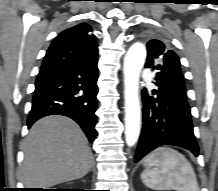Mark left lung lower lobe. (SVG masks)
Wrapping results in <instances>:
<instances>
[{"label":"left lung lower lobe","mask_w":218,"mask_h":191,"mask_svg":"<svg viewBox=\"0 0 218 191\" xmlns=\"http://www.w3.org/2000/svg\"><path fill=\"white\" fill-rule=\"evenodd\" d=\"M155 80V89L142 90L143 129L135 162L161 145L181 146L198 156L199 148L193 134L186 94L181 91L164 90L158 75Z\"/></svg>","instance_id":"0a47b994"}]
</instances>
